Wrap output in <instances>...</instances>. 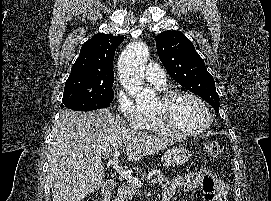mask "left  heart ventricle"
Returning <instances> with one entry per match:
<instances>
[{"label":"left heart ventricle","instance_id":"1","mask_svg":"<svg viewBox=\"0 0 271 201\" xmlns=\"http://www.w3.org/2000/svg\"><path fill=\"white\" fill-rule=\"evenodd\" d=\"M153 112L162 115L183 130L201 128L207 124L209 119L204 107L187 97H180L170 102L158 99Z\"/></svg>","mask_w":271,"mask_h":201}]
</instances>
